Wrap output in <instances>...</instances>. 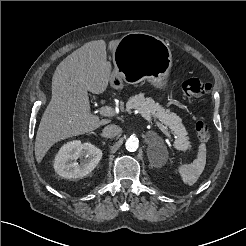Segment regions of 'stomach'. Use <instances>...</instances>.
<instances>
[{
  "label": "stomach",
  "instance_id": "0dacf381",
  "mask_svg": "<svg viewBox=\"0 0 246 246\" xmlns=\"http://www.w3.org/2000/svg\"><path fill=\"white\" fill-rule=\"evenodd\" d=\"M113 63L110 85L114 89H121L123 82L136 84L142 80H148L157 89H165L172 67V54L159 37L131 32L116 45Z\"/></svg>",
  "mask_w": 246,
  "mask_h": 246
}]
</instances>
